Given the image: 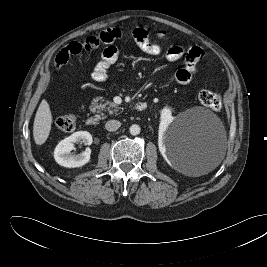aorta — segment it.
Returning a JSON list of instances; mask_svg holds the SVG:
<instances>
[{"label":"aorta","instance_id":"762f6f07","mask_svg":"<svg viewBox=\"0 0 267 267\" xmlns=\"http://www.w3.org/2000/svg\"><path fill=\"white\" fill-rule=\"evenodd\" d=\"M129 130H130L131 135H138L140 133L141 129H140L139 125L134 124V125L130 126Z\"/></svg>","mask_w":267,"mask_h":267}]
</instances>
